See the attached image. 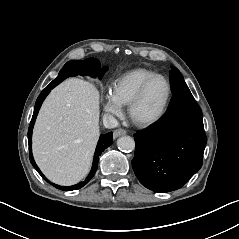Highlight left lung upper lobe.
Returning <instances> with one entry per match:
<instances>
[{"mask_svg":"<svg viewBox=\"0 0 239 239\" xmlns=\"http://www.w3.org/2000/svg\"><path fill=\"white\" fill-rule=\"evenodd\" d=\"M170 82H171V85H172V92L173 93L178 91V90H181V89H188V87H187V85H186V83L183 79L182 74L175 67L171 68Z\"/></svg>","mask_w":239,"mask_h":239,"instance_id":"5c2ea615","label":"left lung upper lobe"}]
</instances>
